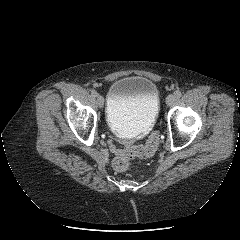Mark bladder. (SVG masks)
Here are the masks:
<instances>
[{"instance_id":"1","label":"bladder","mask_w":240,"mask_h":240,"mask_svg":"<svg viewBox=\"0 0 240 240\" xmlns=\"http://www.w3.org/2000/svg\"><path fill=\"white\" fill-rule=\"evenodd\" d=\"M160 110L156 84L143 76L114 81L108 91L106 120L115 133L138 137L155 124Z\"/></svg>"}]
</instances>
